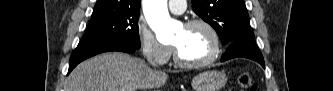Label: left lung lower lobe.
<instances>
[{
    "instance_id": "left-lung-lower-lobe-1",
    "label": "left lung lower lobe",
    "mask_w": 333,
    "mask_h": 91,
    "mask_svg": "<svg viewBox=\"0 0 333 91\" xmlns=\"http://www.w3.org/2000/svg\"><path fill=\"white\" fill-rule=\"evenodd\" d=\"M226 52L223 54L221 61H226L236 57L249 58L260 63L263 67L264 60L253 37H247L235 40L229 43Z\"/></svg>"
}]
</instances>
